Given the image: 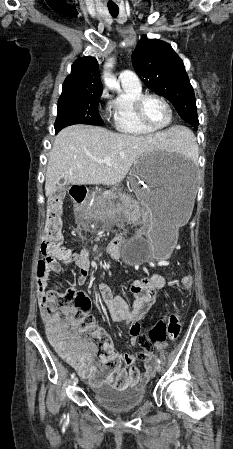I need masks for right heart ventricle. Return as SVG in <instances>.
Masks as SVG:
<instances>
[{
	"mask_svg": "<svg viewBox=\"0 0 233 449\" xmlns=\"http://www.w3.org/2000/svg\"><path fill=\"white\" fill-rule=\"evenodd\" d=\"M123 92L108 105V113L113 127L124 135L142 137L153 133L143 127L136 119L134 102L143 94L141 87L123 85Z\"/></svg>",
	"mask_w": 233,
	"mask_h": 449,
	"instance_id": "e07e8e85",
	"label": "right heart ventricle"
}]
</instances>
